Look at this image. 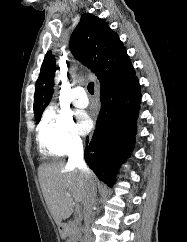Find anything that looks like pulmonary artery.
Here are the masks:
<instances>
[{"label":"pulmonary artery","instance_id":"e3ab8cb5","mask_svg":"<svg viewBox=\"0 0 187 242\" xmlns=\"http://www.w3.org/2000/svg\"><path fill=\"white\" fill-rule=\"evenodd\" d=\"M72 102L74 106L78 108H85L88 105V98L85 89L81 86H77L72 92Z\"/></svg>","mask_w":187,"mask_h":242}]
</instances>
